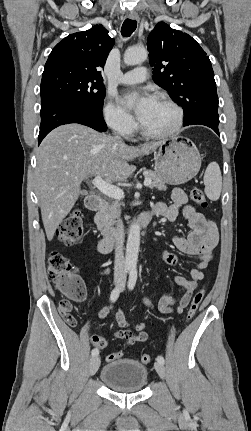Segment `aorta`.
Listing matches in <instances>:
<instances>
[{
	"label": "aorta",
	"mask_w": 251,
	"mask_h": 431,
	"mask_svg": "<svg viewBox=\"0 0 251 431\" xmlns=\"http://www.w3.org/2000/svg\"><path fill=\"white\" fill-rule=\"evenodd\" d=\"M148 53L145 48L130 47L124 53V63L127 65H137L147 59ZM140 246V226L133 223L130 226L127 245H126V258L125 265L131 270H136L138 253Z\"/></svg>",
	"instance_id": "obj_1"
}]
</instances>
